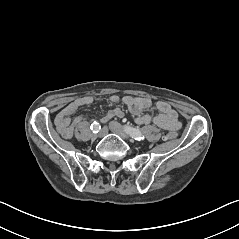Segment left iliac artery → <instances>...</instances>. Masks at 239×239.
Instances as JSON below:
<instances>
[{
    "mask_svg": "<svg viewBox=\"0 0 239 239\" xmlns=\"http://www.w3.org/2000/svg\"><path fill=\"white\" fill-rule=\"evenodd\" d=\"M124 129L126 131L127 134H129L132 138H134L135 140H143L144 136L142 135L141 131L137 128H133L130 126H124Z\"/></svg>",
    "mask_w": 239,
    "mask_h": 239,
    "instance_id": "left-iliac-artery-1",
    "label": "left iliac artery"
}]
</instances>
